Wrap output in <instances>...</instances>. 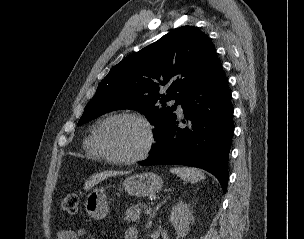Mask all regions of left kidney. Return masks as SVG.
I'll return each mask as SVG.
<instances>
[{
    "mask_svg": "<svg viewBox=\"0 0 304 239\" xmlns=\"http://www.w3.org/2000/svg\"><path fill=\"white\" fill-rule=\"evenodd\" d=\"M192 220V213L189 206L179 201L170 214V221L173 224L178 236L185 237L189 231V224Z\"/></svg>",
    "mask_w": 304,
    "mask_h": 239,
    "instance_id": "5707ae66",
    "label": "left kidney"
}]
</instances>
